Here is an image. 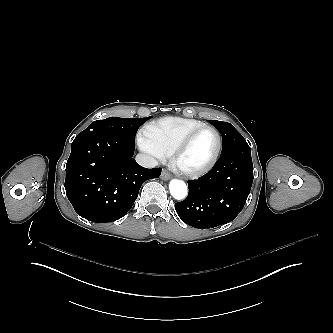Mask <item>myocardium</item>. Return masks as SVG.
Wrapping results in <instances>:
<instances>
[{"label":"myocardium","mask_w":333,"mask_h":333,"mask_svg":"<svg viewBox=\"0 0 333 333\" xmlns=\"http://www.w3.org/2000/svg\"><path fill=\"white\" fill-rule=\"evenodd\" d=\"M209 129L211 130L217 139V148L215 151L214 156L212 159L203 167L192 169V170H185L177 167V159L179 156L183 153V151L188 147L192 139L197 135L199 132ZM222 151V138L218 130L211 126V125H203L197 128L192 129L188 133H186L180 141L176 144V146L173 148L172 152L169 155V167L173 172H175L177 175L186 177V178H198L205 174H207L209 171H211L216 163L219 160L220 154Z\"/></svg>","instance_id":"obj_1"}]
</instances>
